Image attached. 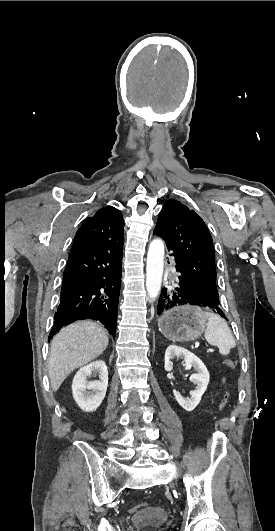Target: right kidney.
I'll return each instance as SVG.
<instances>
[{"mask_svg":"<svg viewBox=\"0 0 275 531\" xmlns=\"http://www.w3.org/2000/svg\"><path fill=\"white\" fill-rule=\"evenodd\" d=\"M92 373H98L100 381H87ZM108 387V369L104 361H93L81 367L72 381V395L78 407L90 413L100 407Z\"/></svg>","mask_w":275,"mask_h":531,"instance_id":"ca27d5eb","label":"right kidney"}]
</instances>
